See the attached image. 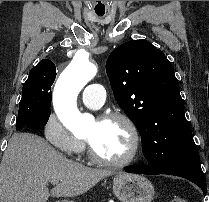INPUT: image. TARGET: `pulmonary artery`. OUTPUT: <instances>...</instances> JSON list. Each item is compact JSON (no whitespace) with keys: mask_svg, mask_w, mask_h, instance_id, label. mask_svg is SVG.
I'll list each match as a JSON object with an SVG mask.
<instances>
[{"mask_svg":"<svg viewBox=\"0 0 209 202\" xmlns=\"http://www.w3.org/2000/svg\"><path fill=\"white\" fill-rule=\"evenodd\" d=\"M105 101V86L99 83L89 84L83 91L82 102L92 109H99Z\"/></svg>","mask_w":209,"mask_h":202,"instance_id":"pulmonary-artery-1","label":"pulmonary artery"}]
</instances>
